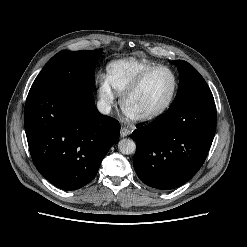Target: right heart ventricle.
Here are the masks:
<instances>
[{
  "label": "right heart ventricle",
  "mask_w": 247,
  "mask_h": 247,
  "mask_svg": "<svg viewBox=\"0 0 247 247\" xmlns=\"http://www.w3.org/2000/svg\"><path fill=\"white\" fill-rule=\"evenodd\" d=\"M155 66L148 60L125 58L112 61L106 68V79L117 94L125 89L145 70Z\"/></svg>",
  "instance_id": "obj_1"
}]
</instances>
